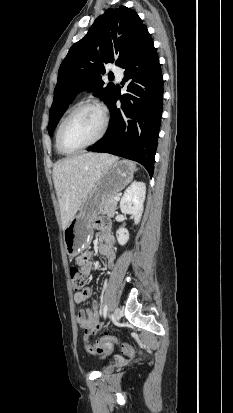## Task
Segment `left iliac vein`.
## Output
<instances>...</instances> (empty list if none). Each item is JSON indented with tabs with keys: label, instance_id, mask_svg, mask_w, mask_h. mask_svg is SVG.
Here are the masks:
<instances>
[{
	"label": "left iliac vein",
	"instance_id": "1",
	"mask_svg": "<svg viewBox=\"0 0 233 413\" xmlns=\"http://www.w3.org/2000/svg\"><path fill=\"white\" fill-rule=\"evenodd\" d=\"M122 317V311L119 307L114 310V320L118 321Z\"/></svg>",
	"mask_w": 233,
	"mask_h": 413
}]
</instances>
